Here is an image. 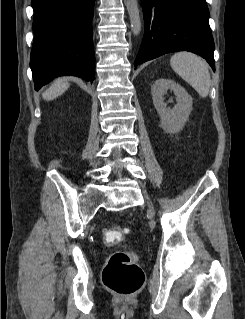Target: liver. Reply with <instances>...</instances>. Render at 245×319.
Here are the masks:
<instances>
[{"instance_id": "6515ba94", "label": "liver", "mask_w": 245, "mask_h": 319, "mask_svg": "<svg viewBox=\"0 0 245 319\" xmlns=\"http://www.w3.org/2000/svg\"><path fill=\"white\" fill-rule=\"evenodd\" d=\"M68 87L69 84L66 82L65 78H59L42 94V96L47 101L53 100L62 95L68 89Z\"/></svg>"}]
</instances>
